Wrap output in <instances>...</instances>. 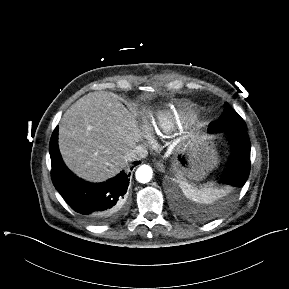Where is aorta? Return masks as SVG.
I'll list each match as a JSON object with an SVG mask.
<instances>
[{"instance_id": "aorta-1", "label": "aorta", "mask_w": 289, "mask_h": 289, "mask_svg": "<svg viewBox=\"0 0 289 289\" xmlns=\"http://www.w3.org/2000/svg\"><path fill=\"white\" fill-rule=\"evenodd\" d=\"M136 179L140 183H147L152 179L153 171L148 165L140 166L136 171Z\"/></svg>"}]
</instances>
